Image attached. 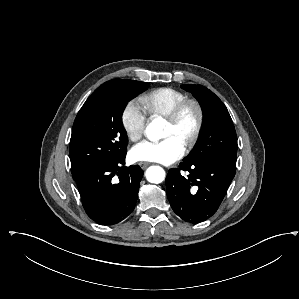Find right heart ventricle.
Returning <instances> with one entry per match:
<instances>
[{
    "label": "right heart ventricle",
    "instance_id": "1",
    "mask_svg": "<svg viewBox=\"0 0 299 299\" xmlns=\"http://www.w3.org/2000/svg\"><path fill=\"white\" fill-rule=\"evenodd\" d=\"M187 96L180 90L161 87L147 93L142 98V105L151 117H167L174 107Z\"/></svg>",
    "mask_w": 299,
    "mask_h": 299
}]
</instances>
